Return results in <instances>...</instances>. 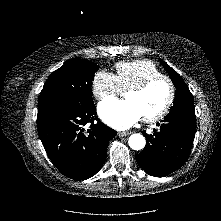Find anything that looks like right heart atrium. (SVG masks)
<instances>
[{"mask_svg": "<svg viewBox=\"0 0 221 221\" xmlns=\"http://www.w3.org/2000/svg\"><path fill=\"white\" fill-rule=\"evenodd\" d=\"M92 91L96 99L102 100L119 95L122 88L114 74L100 70L92 79Z\"/></svg>", "mask_w": 221, "mask_h": 221, "instance_id": "1", "label": "right heart atrium"}]
</instances>
